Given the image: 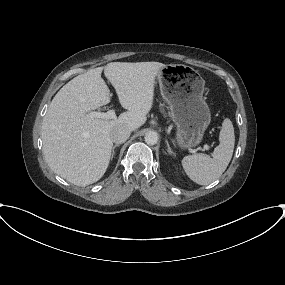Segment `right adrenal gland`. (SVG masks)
I'll return each mask as SVG.
<instances>
[{
  "label": "right adrenal gland",
  "mask_w": 285,
  "mask_h": 285,
  "mask_svg": "<svg viewBox=\"0 0 285 285\" xmlns=\"http://www.w3.org/2000/svg\"><path fill=\"white\" fill-rule=\"evenodd\" d=\"M119 144H115L113 147H112V153H111V159H113V157L115 156V148L118 147Z\"/></svg>",
  "instance_id": "right-adrenal-gland-1"
}]
</instances>
